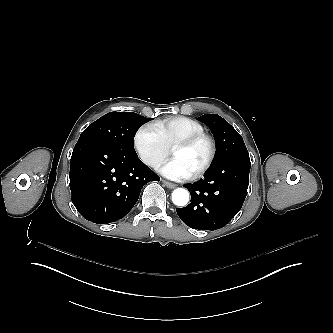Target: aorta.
Segmentation results:
<instances>
[{
  "mask_svg": "<svg viewBox=\"0 0 333 333\" xmlns=\"http://www.w3.org/2000/svg\"><path fill=\"white\" fill-rule=\"evenodd\" d=\"M172 202L176 206H185L189 202V192L184 188H176L172 192Z\"/></svg>",
  "mask_w": 333,
  "mask_h": 333,
  "instance_id": "aorta-1",
  "label": "aorta"
}]
</instances>
